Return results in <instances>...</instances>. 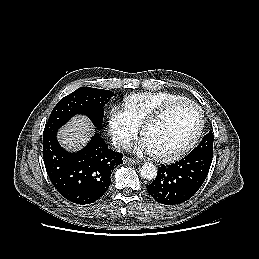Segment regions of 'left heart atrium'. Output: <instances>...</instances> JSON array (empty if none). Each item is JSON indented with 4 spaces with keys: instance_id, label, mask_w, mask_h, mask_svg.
<instances>
[{
    "instance_id": "39dd6f15",
    "label": "left heart atrium",
    "mask_w": 259,
    "mask_h": 259,
    "mask_svg": "<svg viewBox=\"0 0 259 259\" xmlns=\"http://www.w3.org/2000/svg\"><path fill=\"white\" fill-rule=\"evenodd\" d=\"M134 151L138 154L153 153L149 143L144 138L134 146Z\"/></svg>"
}]
</instances>
